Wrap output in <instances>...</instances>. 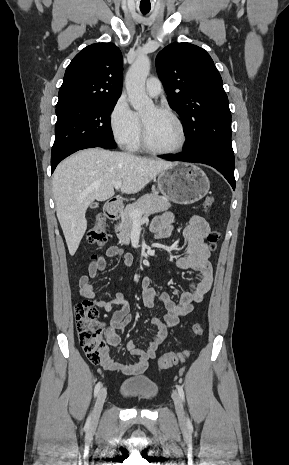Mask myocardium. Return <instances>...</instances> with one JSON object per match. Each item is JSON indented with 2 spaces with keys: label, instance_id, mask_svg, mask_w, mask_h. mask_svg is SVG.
Segmentation results:
<instances>
[{
  "label": "myocardium",
  "instance_id": "myocardium-1",
  "mask_svg": "<svg viewBox=\"0 0 289 465\" xmlns=\"http://www.w3.org/2000/svg\"><path fill=\"white\" fill-rule=\"evenodd\" d=\"M155 109L158 110V111L166 113L167 115H169L176 122V124H177V126L179 128V131H180V135H181L180 142L176 147H174L172 149H160V148L154 147L149 142L146 127H145L144 122H143V120L141 118V145H142V147L146 151H148L150 153H153V154H156V155H171V154L179 153L180 151H182L184 149V147H185V145L187 143V131H186V128H185V125H184L182 119L170 107L156 106Z\"/></svg>",
  "mask_w": 289,
  "mask_h": 465
}]
</instances>
